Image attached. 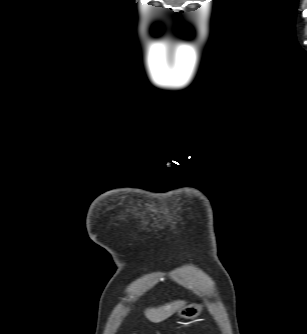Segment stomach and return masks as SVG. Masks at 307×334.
<instances>
[{"instance_id": "1", "label": "stomach", "mask_w": 307, "mask_h": 334, "mask_svg": "<svg viewBox=\"0 0 307 334\" xmlns=\"http://www.w3.org/2000/svg\"><path fill=\"white\" fill-rule=\"evenodd\" d=\"M201 311H202V306L198 304H191L184 306L180 310H178L177 315L180 318L184 319H194L200 315Z\"/></svg>"}]
</instances>
